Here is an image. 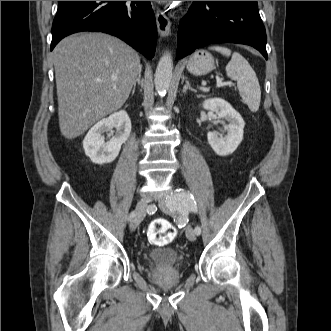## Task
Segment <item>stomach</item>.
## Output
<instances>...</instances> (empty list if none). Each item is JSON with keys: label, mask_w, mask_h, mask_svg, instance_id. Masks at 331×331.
<instances>
[{"label": "stomach", "mask_w": 331, "mask_h": 331, "mask_svg": "<svg viewBox=\"0 0 331 331\" xmlns=\"http://www.w3.org/2000/svg\"><path fill=\"white\" fill-rule=\"evenodd\" d=\"M186 66L193 75H206L214 69V58L206 50L200 49L189 57Z\"/></svg>", "instance_id": "0dacf381"}]
</instances>
